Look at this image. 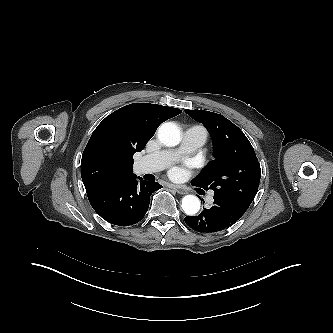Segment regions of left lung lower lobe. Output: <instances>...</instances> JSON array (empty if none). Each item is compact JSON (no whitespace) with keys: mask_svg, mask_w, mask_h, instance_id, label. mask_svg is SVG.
<instances>
[{"mask_svg":"<svg viewBox=\"0 0 333 333\" xmlns=\"http://www.w3.org/2000/svg\"><path fill=\"white\" fill-rule=\"evenodd\" d=\"M248 208L238 202L214 195V205L198 216L185 217L186 224L202 233L224 230L239 220Z\"/></svg>","mask_w":333,"mask_h":333,"instance_id":"left-lung-lower-lobe-1","label":"left lung lower lobe"}]
</instances>
